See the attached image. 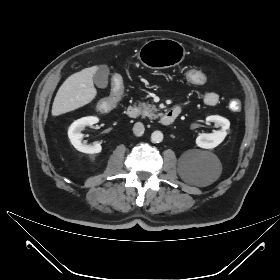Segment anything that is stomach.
<instances>
[{
	"label": "stomach",
	"mask_w": 280,
	"mask_h": 280,
	"mask_svg": "<svg viewBox=\"0 0 280 280\" xmlns=\"http://www.w3.org/2000/svg\"><path fill=\"white\" fill-rule=\"evenodd\" d=\"M185 54V48L180 42L162 38L143 44L138 52V59L148 68L164 69L181 63Z\"/></svg>",
	"instance_id": "1"
}]
</instances>
